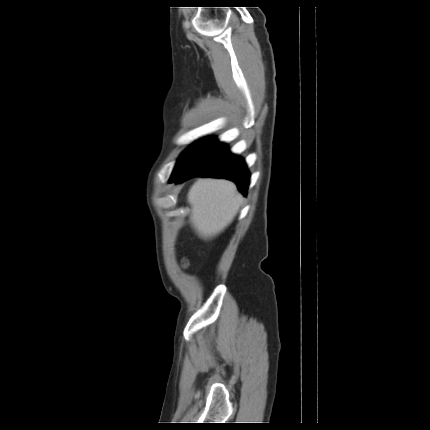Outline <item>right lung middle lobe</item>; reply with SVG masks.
<instances>
[{
  "label": "right lung middle lobe",
  "mask_w": 430,
  "mask_h": 430,
  "mask_svg": "<svg viewBox=\"0 0 430 430\" xmlns=\"http://www.w3.org/2000/svg\"><path fill=\"white\" fill-rule=\"evenodd\" d=\"M216 143H217V140L213 137H206L198 140L196 143H194L186 151L183 152V154L178 160V163L173 173L178 172L182 168L193 163L207 150L212 148Z\"/></svg>",
  "instance_id": "right-lung-middle-lobe-1"
}]
</instances>
